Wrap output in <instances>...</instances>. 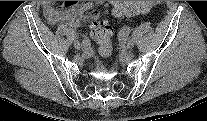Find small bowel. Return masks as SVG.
Wrapping results in <instances>:
<instances>
[{"label": "small bowel", "mask_w": 207, "mask_h": 121, "mask_svg": "<svg viewBox=\"0 0 207 121\" xmlns=\"http://www.w3.org/2000/svg\"><path fill=\"white\" fill-rule=\"evenodd\" d=\"M117 1L110 2L113 7ZM43 14L51 25L63 24L70 28L77 27L82 21L97 20L100 16L99 11L94 10L91 2L64 1L57 7L54 1L43 3Z\"/></svg>", "instance_id": "obj_1"}]
</instances>
